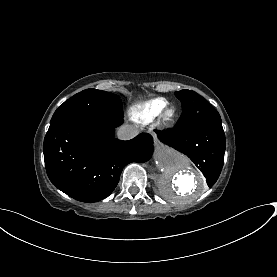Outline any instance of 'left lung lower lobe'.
I'll return each instance as SVG.
<instances>
[{
  "label": "left lung lower lobe",
  "mask_w": 277,
  "mask_h": 277,
  "mask_svg": "<svg viewBox=\"0 0 277 277\" xmlns=\"http://www.w3.org/2000/svg\"><path fill=\"white\" fill-rule=\"evenodd\" d=\"M164 144L187 155L201 170L211 188L224 163L225 134L221 122L155 131Z\"/></svg>",
  "instance_id": "0a47b994"
}]
</instances>
